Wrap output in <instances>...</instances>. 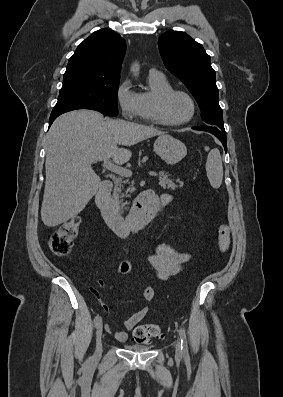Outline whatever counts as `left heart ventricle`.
<instances>
[{
	"mask_svg": "<svg viewBox=\"0 0 283 397\" xmlns=\"http://www.w3.org/2000/svg\"><path fill=\"white\" fill-rule=\"evenodd\" d=\"M191 109V104L185 96L175 94L166 103L165 116L169 121L184 120L191 114Z\"/></svg>",
	"mask_w": 283,
	"mask_h": 397,
	"instance_id": "left-heart-ventricle-1",
	"label": "left heart ventricle"
}]
</instances>
